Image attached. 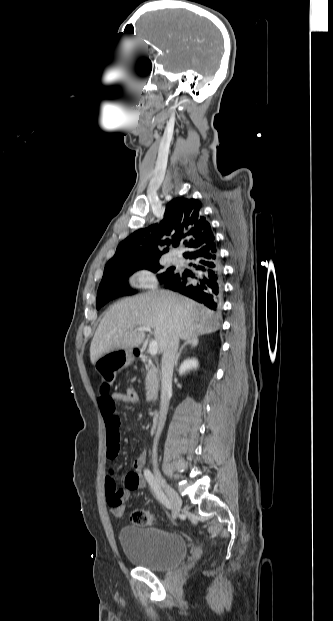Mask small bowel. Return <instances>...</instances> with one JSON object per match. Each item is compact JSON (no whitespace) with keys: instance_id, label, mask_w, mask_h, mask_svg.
<instances>
[{"instance_id":"c3829d8e","label":"small bowel","mask_w":333,"mask_h":621,"mask_svg":"<svg viewBox=\"0 0 333 621\" xmlns=\"http://www.w3.org/2000/svg\"><path fill=\"white\" fill-rule=\"evenodd\" d=\"M122 401V392L109 393V385L104 382L100 389L98 405L104 420L107 437V459L114 461L119 452L120 443V419L116 414V402ZM146 457L140 454L133 461L132 469L125 475L127 481L124 487L118 486L117 478L108 473L106 477V496L107 503L111 510L115 507L124 509V503L130 494L144 487L145 482L142 476V469L145 465Z\"/></svg>"}]
</instances>
